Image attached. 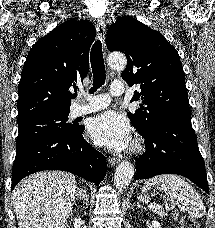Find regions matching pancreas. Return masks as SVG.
<instances>
[{"label":"pancreas","mask_w":215,"mask_h":228,"mask_svg":"<svg viewBox=\"0 0 215 228\" xmlns=\"http://www.w3.org/2000/svg\"><path fill=\"white\" fill-rule=\"evenodd\" d=\"M155 214H157V216H160V218H165V216H167L165 210H162V208H157V210H154Z\"/></svg>","instance_id":"obj_1"}]
</instances>
